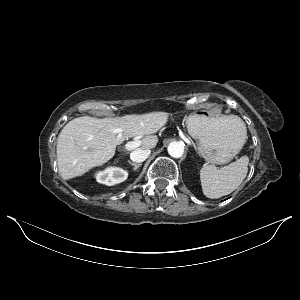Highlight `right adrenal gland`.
Listing matches in <instances>:
<instances>
[{
	"mask_svg": "<svg viewBox=\"0 0 300 300\" xmlns=\"http://www.w3.org/2000/svg\"><path fill=\"white\" fill-rule=\"evenodd\" d=\"M128 163L134 167L133 168L134 171L137 170L142 165L141 163H133L130 160L128 161Z\"/></svg>",
	"mask_w": 300,
	"mask_h": 300,
	"instance_id": "2a0ac1e0",
	"label": "right adrenal gland"
}]
</instances>
